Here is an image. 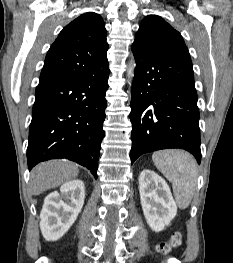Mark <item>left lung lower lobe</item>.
Returning <instances> with one entry per match:
<instances>
[{
	"mask_svg": "<svg viewBox=\"0 0 233 263\" xmlns=\"http://www.w3.org/2000/svg\"><path fill=\"white\" fill-rule=\"evenodd\" d=\"M131 163L140 155L182 148L201 161L199 110L191 59L132 47Z\"/></svg>",
	"mask_w": 233,
	"mask_h": 263,
	"instance_id": "obj_1",
	"label": "left lung lower lobe"
}]
</instances>
